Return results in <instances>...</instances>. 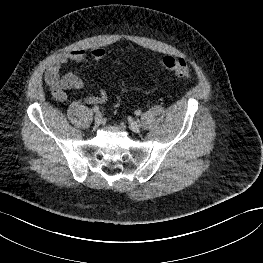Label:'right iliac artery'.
<instances>
[{
  "mask_svg": "<svg viewBox=\"0 0 263 263\" xmlns=\"http://www.w3.org/2000/svg\"><path fill=\"white\" fill-rule=\"evenodd\" d=\"M93 111H94V112H99V107H98V106H94V107H93Z\"/></svg>",
  "mask_w": 263,
  "mask_h": 263,
  "instance_id": "82829eb1",
  "label": "right iliac artery"
}]
</instances>
